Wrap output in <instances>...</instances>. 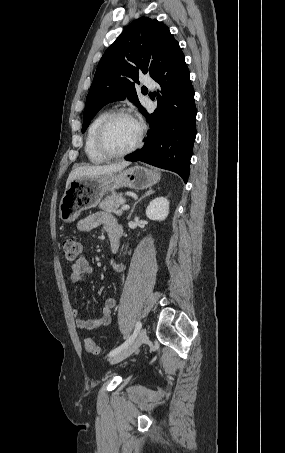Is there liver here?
<instances>
[{
    "mask_svg": "<svg viewBox=\"0 0 285 453\" xmlns=\"http://www.w3.org/2000/svg\"><path fill=\"white\" fill-rule=\"evenodd\" d=\"M130 162H121L117 164H110L104 166H80L72 170L66 182V188L75 179L83 177H97L107 174H112L123 170Z\"/></svg>",
    "mask_w": 285,
    "mask_h": 453,
    "instance_id": "6515ba94",
    "label": "liver"
}]
</instances>
